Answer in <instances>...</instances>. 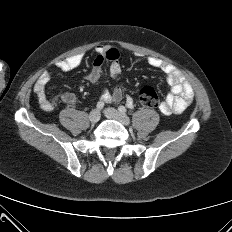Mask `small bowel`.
I'll list each match as a JSON object with an SVG mask.
<instances>
[{
	"instance_id": "obj_1",
	"label": "small bowel",
	"mask_w": 232,
	"mask_h": 232,
	"mask_svg": "<svg viewBox=\"0 0 232 232\" xmlns=\"http://www.w3.org/2000/svg\"><path fill=\"white\" fill-rule=\"evenodd\" d=\"M96 57L93 61L90 71L85 75V79L93 84H99L102 78L104 63H110L108 75L116 79L122 72L119 63V53L116 49L99 44L95 48ZM83 54H75L67 59L60 60L56 63L58 70L69 72L78 68L83 62ZM146 63L149 67L160 70L167 78L170 85V92L166 95L165 100L160 104L159 110L162 114L169 115L172 113H181L192 102L194 97L193 88L186 81L181 73L169 62L154 56H147ZM50 81V74L43 72L34 85V93L37 97L40 107L45 111H52L54 103L47 97L46 85ZM124 98L121 86H115L111 91L103 90L101 100L105 103L119 102ZM61 99L68 105H74L77 101L73 93H64ZM127 105L131 106L133 100L131 97L126 98Z\"/></svg>"
}]
</instances>
